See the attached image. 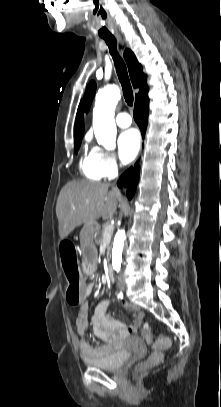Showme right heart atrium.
Wrapping results in <instances>:
<instances>
[{
	"label": "right heart atrium",
	"mask_w": 221,
	"mask_h": 407,
	"mask_svg": "<svg viewBox=\"0 0 221 407\" xmlns=\"http://www.w3.org/2000/svg\"><path fill=\"white\" fill-rule=\"evenodd\" d=\"M91 154L103 177H112L117 173L119 164L112 152L95 146L92 148Z\"/></svg>",
	"instance_id": "1"
}]
</instances>
